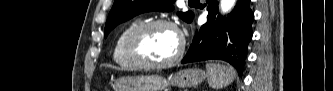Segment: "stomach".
Segmentation results:
<instances>
[{"label":"stomach","instance_id":"1","mask_svg":"<svg viewBox=\"0 0 333 91\" xmlns=\"http://www.w3.org/2000/svg\"><path fill=\"white\" fill-rule=\"evenodd\" d=\"M207 74L200 69H184L165 79L161 76H126L115 80L114 91H167L169 85L193 87L201 83Z\"/></svg>","mask_w":333,"mask_h":91}]
</instances>
